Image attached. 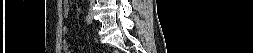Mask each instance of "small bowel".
<instances>
[{"label": "small bowel", "instance_id": "small-bowel-1", "mask_svg": "<svg viewBox=\"0 0 253 53\" xmlns=\"http://www.w3.org/2000/svg\"><path fill=\"white\" fill-rule=\"evenodd\" d=\"M64 15H65V16L68 15V7H67L66 5L64 6ZM67 31H68L67 27H64V28H63V32H64V33H67ZM66 46H67V44L65 43V47H66Z\"/></svg>", "mask_w": 253, "mask_h": 53}]
</instances>
